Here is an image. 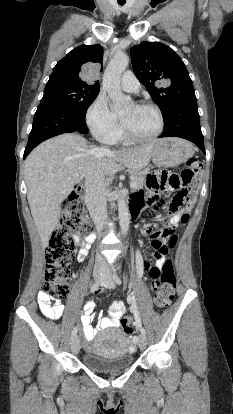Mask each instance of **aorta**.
<instances>
[{"label": "aorta", "mask_w": 233, "mask_h": 414, "mask_svg": "<svg viewBox=\"0 0 233 414\" xmlns=\"http://www.w3.org/2000/svg\"><path fill=\"white\" fill-rule=\"evenodd\" d=\"M128 64L129 57L126 54L117 53L109 62L103 76V87L112 101L111 108L114 110L121 109L132 102L131 97L124 95L120 87L122 73ZM118 215L121 231L125 236L129 229V212L127 204L122 197L118 198Z\"/></svg>", "instance_id": "aorta-1"}]
</instances>
